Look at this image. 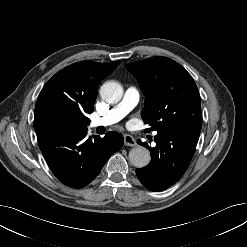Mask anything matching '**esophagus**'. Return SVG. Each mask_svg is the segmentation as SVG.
I'll return each instance as SVG.
<instances>
[{
  "instance_id": "obj_1",
  "label": "esophagus",
  "mask_w": 247,
  "mask_h": 247,
  "mask_svg": "<svg viewBox=\"0 0 247 247\" xmlns=\"http://www.w3.org/2000/svg\"><path fill=\"white\" fill-rule=\"evenodd\" d=\"M124 144L130 147L137 145L136 140L129 134L124 135Z\"/></svg>"
}]
</instances>
